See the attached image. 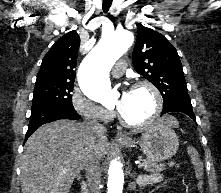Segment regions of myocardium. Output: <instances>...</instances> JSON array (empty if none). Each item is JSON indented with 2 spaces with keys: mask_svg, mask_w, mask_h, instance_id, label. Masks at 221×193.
I'll list each match as a JSON object with an SVG mask.
<instances>
[{
  "mask_svg": "<svg viewBox=\"0 0 221 193\" xmlns=\"http://www.w3.org/2000/svg\"><path fill=\"white\" fill-rule=\"evenodd\" d=\"M142 88L148 89L152 93L154 97V101H155L154 110L147 119L143 121H138V122L129 121L123 116V114L120 111H118L119 121L121 122L122 125L126 127H129V128L146 127L152 124L161 114L162 107H163V98H162L160 90L153 83L146 81V80L138 81L132 86V89H142Z\"/></svg>",
  "mask_w": 221,
  "mask_h": 193,
  "instance_id": "f54148a6",
  "label": "myocardium"
}]
</instances>
